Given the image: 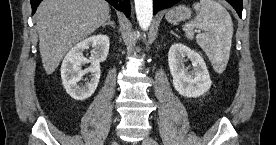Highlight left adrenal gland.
Masks as SVG:
<instances>
[{
    "label": "left adrenal gland",
    "instance_id": "left-adrenal-gland-1",
    "mask_svg": "<svg viewBox=\"0 0 276 145\" xmlns=\"http://www.w3.org/2000/svg\"><path fill=\"white\" fill-rule=\"evenodd\" d=\"M170 33L172 34V35H175V36H177L173 31H170Z\"/></svg>",
    "mask_w": 276,
    "mask_h": 145
}]
</instances>
